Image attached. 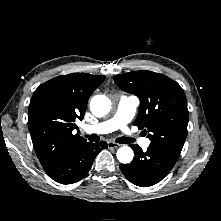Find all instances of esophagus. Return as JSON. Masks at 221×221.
I'll list each match as a JSON object with an SVG mask.
<instances>
[{
	"label": "esophagus",
	"mask_w": 221,
	"mask_h": 221,
	"mask_svg": "<svg viewBox=\"0 0 221 221\" xmlns=\"http://www.w3.org/2000/svg\"><path fill=\"white\" fill-rule=\"evenodd\" d=\"M107 146H108L109 149H117L118 147H120V144L112 142V141H109L107 143Z\"/></svg>",
	"instance_id": "1"
}]
</instances>
